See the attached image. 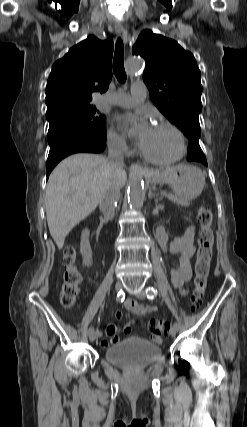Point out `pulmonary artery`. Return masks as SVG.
I'll return each mask as SVG.
<instances>
[{
	"label": "pulmonary artery",
	"mask_w": 247,
	"mask_h": 427,
	"mask_svg": "<svg viewBox=\"0 0 247 427\" xmlns=\"http://www.w3.org/2000/svg\"><path fill=\"white\" fill-rule=\"evenodd\" d=\"M146 98V88L143 83H135L131 87V93H120L114 97H109L106 99L108 103L122 106V107H132L136 104L144 102Z\"/></svg>",
	"instance_id": "e3ab8cb5"
}]
</instances>
